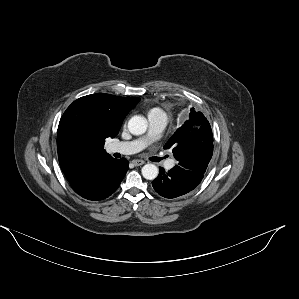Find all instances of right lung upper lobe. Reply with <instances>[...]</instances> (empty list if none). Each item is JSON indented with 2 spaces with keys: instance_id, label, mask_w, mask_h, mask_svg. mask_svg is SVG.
<instances>
[{
  "instance_id": "right-lung-upper-lobe-1",
  "label": "right lung upper lobe",
  "mask_w": 299,
  "mask_h": 299,
  "mask_svg": "<svg viewBox=\"0 0 299 299\" xmlns=\"http://www.w3.org/2000/svg\"><path fill=\"white\" fill-rule=\"evenodd\" d=\"M140 99L92 94L75 100L64 112L57 131L59 163L71 183L93 162L109 158L105 139L114 138L128 112Z\"/></svg>"
}]
</instances>
